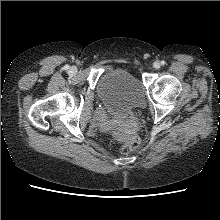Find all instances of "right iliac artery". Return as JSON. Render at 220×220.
I'll return each instance as SVG.
<instances>
[{"mask_svg":"<svg viewBox=\"0 0 220 220\" xmlns=\"http://www.w3.org/2000/svg\"><path fill=\"white\" fill-rule=\"evenodd\" d=\"M65 68H66V69H69V66H68V65H66V66H65Z\"/></svg>","mask_w":220,"mask_h":220,"instance_id":"obj_1","label":"right iliac artery"}]
</instances>
